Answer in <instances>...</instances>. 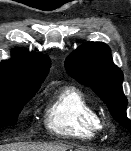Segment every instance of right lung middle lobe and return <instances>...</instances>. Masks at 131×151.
<instances>
[{"mask_svg": "<svg viewBox=\"0 0 131 151\" xmlns=\"http://www.w3.org/2000/svg\"><path fill=\"white\" fill-rule=\"evenodd\" d=\"M38 89V87L0 86V128L16 124L23 106Z\"/></svg>", "mask_w": 131, "mask_h": 151, "instance_id": "right-lung-middle-lobe-1", "label": "right lung middle lobe"}]
</instances>
